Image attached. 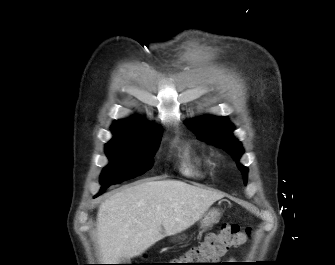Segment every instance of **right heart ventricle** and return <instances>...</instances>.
<instances>
[{"label":"right heart ventricle","mask_w":335,"mask_h":265,"mask_svg":"<svg viewBox=\"0 0 335 265\" xmlns=\"http://www.w3.org/2000/svg\"><path fill=\"white\" fill-rule=\"evenodd\" d=\"M181 158L180 170L189 177H203L210 171L212 166L210 158L191 145L185 146Z\"/></svg>","instance_id":"right-heart-ventricle-1"}]
</instances>
